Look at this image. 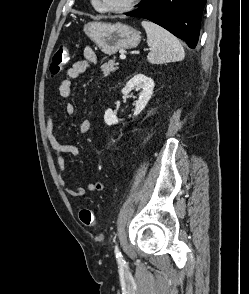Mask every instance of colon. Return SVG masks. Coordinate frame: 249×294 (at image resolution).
I'll list each match as a JSON object with an SVG mask.
<instances>
[{
	"mask_svg": "<svg viewBox=\"0 0 249 294\" xmlns=\"http://www.w3.org/2000/svg\"><path fill=\"white\" fill-rule=\"evenodd\" d=\"M69 60V47L67 45H60L53 56L50 64V73L58 75L67 65ZM80 222L86 227H93L96 224V217L94 212L89 208H81L79 210Z\"/></svg>",
	"mask_w": 249,
	"mask_h": 294,
	"instance_id": "colon-1",
	"label": "colon"
}]
</instances>
